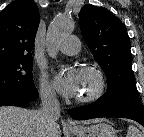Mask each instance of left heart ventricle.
I'll return each mask as SVG.
<instances>
[{
  "label": "left heart ventricle",
  "mask_w": 144,
  "mask_h": 137,
  "mask_svg": "<svg viewBox=\"0 0 144 137\" xmlns=\"http://www.w3.org/2000/svg\"><path fill=\"white\" fill-rule=\"evenodd\" d=\"M95 87V79L90 73L80 71V90L79 96H85L89 94Z\"/></svg>",
  "instance_id": "obj_1"
}]
</instances>
